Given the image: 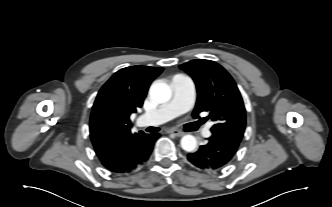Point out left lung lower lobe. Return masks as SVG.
Returning a JSON list of instances; mask_svg holds the SVG:
<instances>
[{"mask_svg": "<svg viewBox=\"0 0 332 207\" xmlns=\"http://www.w3.org/2000/svg\"><path fill=\"white\" fill-rule=\"evenodd\" d=\"M239 143L213 134L205 145L195 153L188 154V160L198 169L206 172L217 171L229 163L235 155Z\"/></svg>", "mask_w": 332, "mask_h": 207, "instance_id": "left-lung-lower-lobe-1", "label": "left lung lower lobe"}]
</instances>
